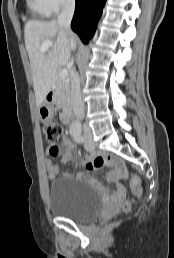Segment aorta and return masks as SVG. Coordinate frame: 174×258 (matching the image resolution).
<instances>
[{"instance_id":"762f6f07","label":"aorta","mask_w":174,"mask_h":258,"mask_svg":"<svg viewBox=\"0 0 174 258\" xmlns=\"http://www.w3.org/2000/svg\"><path fill=\"white\" fill-rule=\"evenodd\" d=\"M71 127L72 128H75V129H80L81 128V124L78 120H75L72 124H71Z\"/></svg>"}]
</instances>
